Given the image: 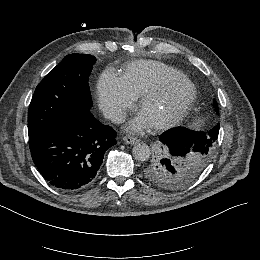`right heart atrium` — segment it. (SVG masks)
Returning a JSON list of instances; mask_svg holds the SVG:
<instances>
[{
    "instance_id": "d8ad5b80",
    "label": "right heart atrium",
    "mask_w": 260,
    "mask_h": 260,
    "mask_svg": "<svg viewBox=\"0 0 260 260\" xmlns=\"http://www.w3.org/2000/svg\"><path fill=\"white\" fill-rule=\"evenodd\" d=\"M98 97L103 110H109L117 100L116 79L108 71L103 72L98 80Z\"/></svg>"
}]
</instances>
